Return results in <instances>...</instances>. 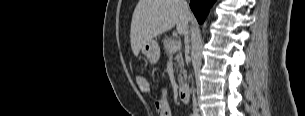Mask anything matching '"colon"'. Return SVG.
I'll return each mask as SVG.
<instances>
[{"instance_id":"colon-1","label":"colon","mask_w":305,"mask_h":116,"mask_svg":"<svg viewBox=\"0 0 305 116\" xmlns=\"http://www.w3.org/2000/svg\"><path fill=\"white\" fill-rule=\"evenodd\" d=\"M136 84H137L139 91L143 95L151 97V98L153 97L151 86L149 84V81L145 77H143L141 75H137Z\"/></svg>"}]
</instances>
